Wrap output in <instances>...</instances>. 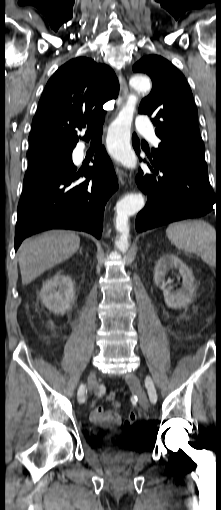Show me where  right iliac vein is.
<instances>
[{
	"instance_id": "right-iliac-vein-1",
	"label": "right iliac vein",
	"mask_w": 221,
	"mask_h": 510,
	"mask_svg": "<svg viewBox=\"0 0 221 510\" xmlns=\"http://www.w3.org/2000/svg\"><path fill=\"white\" fill-rule=\"evenodd\" d=\"M88 387L92 392L96 388V375L94 371H91L88 376Z\"/></svg>"
}]
</instances>
